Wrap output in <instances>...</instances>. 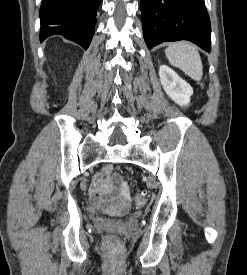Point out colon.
<instances>
[{"label": "colon", "mask_w": 247, "mask_h": 275, "mask_svg": "<svg viewBox=\"0 0 247 275\" xmlns=\"http://www.w3.org/2000/svg\"><path fill=\"white\" fill-rule=\"evenodd\" d=\"M103 180H104V175L102 173H99L98 175H96L94 182L96 184H101ZM146 200H147V191L144 189L138 191L137 194L135 195V201L138 206L145 205ZM106 244L113 249H116L119 245L117 239L113 235H108L106 237Z\"/></svg>", "instance_id": "5ec220e1"}]
</instances>
